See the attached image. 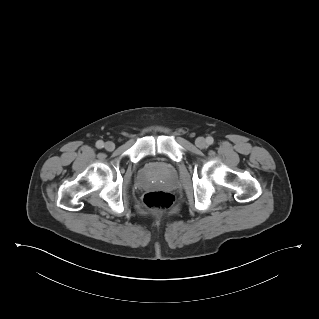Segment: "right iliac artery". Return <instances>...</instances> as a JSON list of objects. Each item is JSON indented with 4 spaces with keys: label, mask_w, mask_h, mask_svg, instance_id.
I'll list each match as a JSON object with an SVG mask.
<instances>
[{
    "label": "right iliac artery",
    "mask_w": 319,
    "mask_h": 319,
    "mask_svg": "<svg viewBox=\"0 0 319 319\" xmlns=\"http://www.w3.org/2000/svg\"><path fill=\"white\" fill-rule=\"evenodd\" d=\"M96 147L99 148V149L103 148L104 147V142L101 141V140L97 141L96 142Z\"/></svg>",
    "instance_id": "82829eb1"
}]
</instances>
